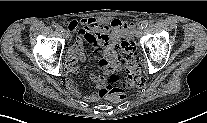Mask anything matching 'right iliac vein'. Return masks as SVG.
<instances>
[{
  "instance_id": "63e3f726",
  "label": "right iliac vein",
  "mask_w": 207,
  "mask_h": 123,
  "mask_svg": "<svg viewBox=\"0 0 207 123\" xmlns=\"http://www.w3.org/2000/svg\"><path fill=\"white\" fill-rule=\"evenodd\" d=\"M63 35L66 37V38H68L69 37V34H68V32L66 31V30H63Z\"/></svg>"
}]
</instances>
